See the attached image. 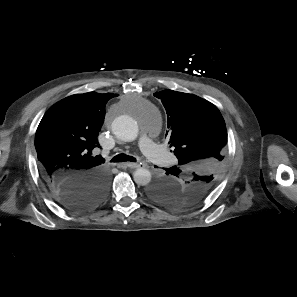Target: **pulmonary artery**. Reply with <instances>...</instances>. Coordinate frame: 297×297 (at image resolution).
Returning a JSON list of instances; mask_svg holds the SVG:
<instances>
[{"instance_id":"pulmonary-artery-1","label":"pulmonary artery","mask_w":297,"mask_h":297,"mask_svg":"<svg viewBox=\"0 0 297 297\" xmlns=\"http://www.w3.org/2000/svg\"><path fill=\"white\" fill-rule=\"evenodd\" d=\"M139 144L142 152L154 163L165 167L174 163V157L155 144L149 136L143 135Z\"/></svg>"}]
</instances>
